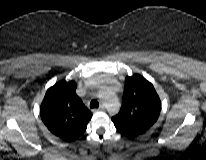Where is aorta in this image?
Masks as SVG:
<instances>
[{
	"mask_svg": "<svg viewBox=\"0 0 206 160\" xmlns=\"http://www.w3.org/2000/svg\"><path fill=\"white\" fill-rule=\"evenodd\" d=\"M115 106H116V109L118 110V109H119V106H120V104H119L118 101H115Z\"/></svg>",
	"mask_w": 206,
	"mask_h": 160,
	"instance_id": "762f6f07",
	"label": "aorta"
}]
</instances>
